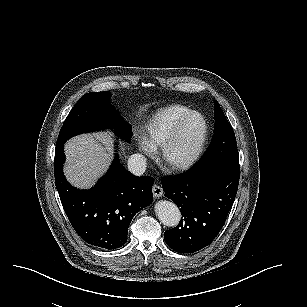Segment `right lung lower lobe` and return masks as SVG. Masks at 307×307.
I'll use <instances>...</instances> for the list:
<instances>
[{"label": "right lung lower lobe", "instance_id": "obj_1", "mask_svg": "<svg viewBox=\"0 0 307 307\" xmlns=\"http://www.w3.org/2000/svg\"><path fill=\"white\" fill-rule=\"evenodd\" d=\"M64 144L56 146L55 183L76 233L89 245L113 250L127 241L134 215L153 200V178L137 177L120 164L116 154L109 171L89 190L72 187L63 174Z\"/></svg>", "mask_w": 307, "mask_h": 307}]
</instances>
